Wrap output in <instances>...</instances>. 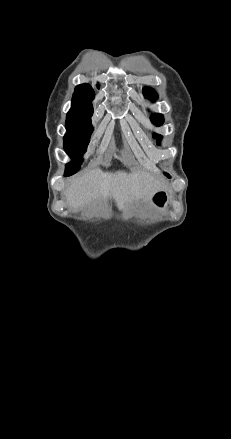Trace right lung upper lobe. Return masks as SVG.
<instances>
[{
	"label": "right lung upper lobe",
	"mask_w": 231,
	"mask_h": 439,
	"mask_svg": "<svg viewBox=\"0 0 231 439\" xmlns=\"http://www.w3.org/2000/svg\"><path fill=\"white\" fill-rule=\"evenodd\" d=\"M95 96L94 90L89 84H81L75 88L72 98L70 113H93L92 100Z\"/></svg>",
	"instance_id": "right-lung-upper-lobe-1"
}]
</instances>
